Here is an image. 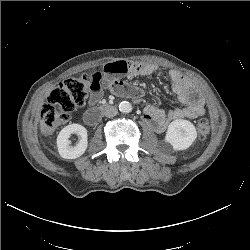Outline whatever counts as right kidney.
I'll use <instances>...</instances> for the list:
<instances>
[{
	"instance_id": "obj_1",
	"label": "right kidney",
	"mask_w": 250,
	"mask_h": 250,
	"mask_svg": "<svg viewBox=\"0 0 250 250\" xmlns=\"http://www.w3.org/2000/svg\"><path fill=\"white\" fill-rule=\"evenodd\" d=\"M71 134H77L80 138L75 146L70 145ZM88 146L87 130L80 124H70L64 127L57 136V147L60 156L64 159H76L84 154Z\"/></svg>"
}]
</instances>
